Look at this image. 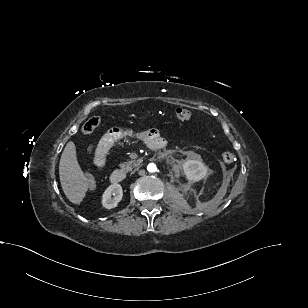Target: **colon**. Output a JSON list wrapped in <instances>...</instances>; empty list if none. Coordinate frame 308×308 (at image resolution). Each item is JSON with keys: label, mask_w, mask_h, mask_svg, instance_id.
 <instances>
[{"label": "colon", "mask_w": 308, "mask_h": 308, "mask_svg": "<svg viewBox=\"0 0 308 308\" xmlns=\"http://www.w3.org/2000/svg\"><path fill=\"white\" fill-rule=\"evenodd\" d=\"M175 114L176 118L182 122L189 121L192 118L191 112L184 107H178ZM99 124L100 118L98 116L89 118L82 126V133L84 135L91 134L99 126ZM222 157L224 162L227 164H231L235 161V155L232 152H224ZM87 186L90 192H93L96 189V181L92 175H89L87 179Z\"/></svg>", "instance_id": "obj_1"}]
</instances>
